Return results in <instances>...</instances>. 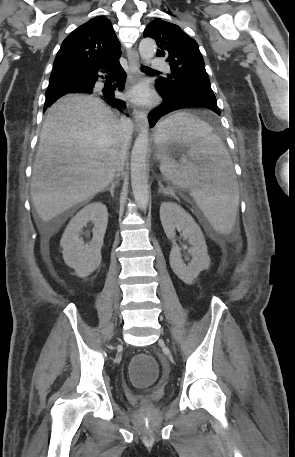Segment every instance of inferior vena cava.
Wrapping results in <instances>:
<instances>
[{
	"label": "inferior vena cava",
	"mask_w": 295,
	"mask_h": 457,
	"mask_svg": "<svg viewBox=\"0 0 295 457\" xmlns=\"http://www.w3.org/2000/svg\"><path fill=\"white\" fill-rule=\"evenodd\" d=\"M121 125L123 128V138L125 141H128L130 138V135L132 134V131H133L132 121L128 118H123L121 120ZM125 156H126V150L123 148L121 153L119 154L118 161H117V167H116V171L118 172L117 176L119 175V173L122 171V169L124 167Z\"/></svg>",
	"instance_id": "602c4592"
}]
</instances>
